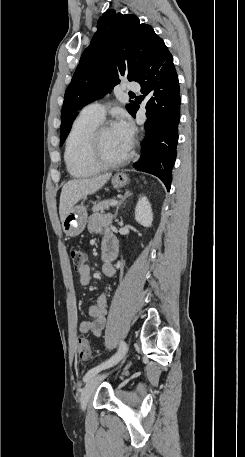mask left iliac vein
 Here are the masks:
<instances>
[{"label":"left iliac vein","mask_w":245,"mask_h":457,"mask_svg":"<svg viewBox=\"0 0 245 457\" xmlns=\"http://www.w3.org/2000/svg\"><path fill=\"white\" fill-rule=\"evenodd\" d=\"M103 378V376L94 375L88 380L80 397V405L82 410L86 409L87 404L92 398L95 389L97 388L99 382L103 380Z\"/></svg>","instance_id":"obj_1"}]
</instances>
